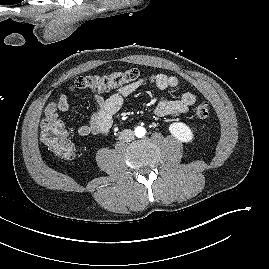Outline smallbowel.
I'll use <instances>...</instances> for the list:
<instances>
[{
  "label": "small bowel",
  "instance_id": "1",
  "mask_svg": "<svg viewBox=\"0 0 269 269\" xmlns=\"http://www.w3.org/2000/svg\"><path fill=\"white\" fill-rule=\"evenodd\" d=\"M151 82L161 90L176 89L179 86L177 77L164 73L152 74L137 81L121 86L116 92L105 97L100 93L94 94L97 108L90 121L77 128L80 136L106 135L112 125L114 115L122 108L127 97L132 95L143 84ZM196 95L185 92L179 99L161 97L155 107V115L158 117L177 118L185 114L195 104ZM71 107V100L63 93L55 101L50 102L45 110L46 117L58 119L59 112H66Z\"/></svg>",
  "mask_w": 269,
  "mask_h": 269
}]
</instances>
